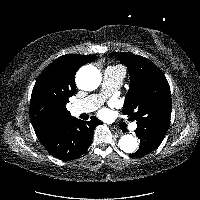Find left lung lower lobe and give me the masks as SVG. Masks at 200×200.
<instances>
[{
	"mask_svg": "<svg viewBox=\"0 0 200 200\" xmlns=\"http://www.w3.org/2000/svg\"><path fill=\"white\" fill-rule=\"evenodd\" d=\"M140 139V146L132 157H142L155 150L162 142L166 133L148 125H137L135 131Z\"/></svg>",
	"mask_w": 200,
	"mask_h": 200,
	"instance_id": "1",
	"label": "left lung lower lobe"
}]
</instances>
